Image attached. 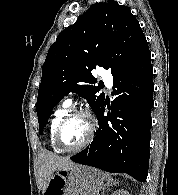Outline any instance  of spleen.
I'll list each match as a JSON object with an SVG mask.
<instances>
[{
    "mask_svg": "<svg viewBox=\"0 0 178 195\" xmlns=\"http://www.w3.org/2000/svg\"><path fill=\"white\" fill-rule=\"evenodd\" d=\"M107 180H108V183L113 181V179L109 175H107Z\"/></svg>",
    "mask_w": 178,
    "mask_h": 195,
    "instance_id": "1",
    "label": "spleen"
}]
</instances>
